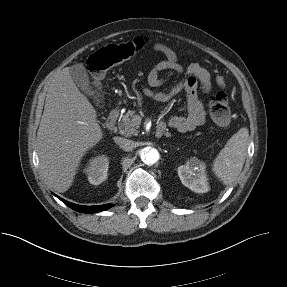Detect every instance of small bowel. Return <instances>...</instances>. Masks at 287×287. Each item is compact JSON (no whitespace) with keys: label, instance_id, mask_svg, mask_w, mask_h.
<instances>
[{"label":"small bowel","instance_id":"1","mask_svg":"<svg viewBox=\"0 0 287 287\" xmlns=\"http://www.w3.org/2000/svg\"><path fill=\"white\" fill-rule=\"evenodd\" d=\"M154 50L162 53L165 59L158 62L147 76V85L143 86L144 94L157 103H165L181 92L186 93L187 112L183 116H172L168 124L180 132L192 131L205 121V108L198 97V89L208 93L212 87L209 71L199 63H191L184 67L178 60L176 52L165 44L157 43ZM182 76V79L166 92H156L152 88L164 85L171 77ZM219 87H225L222 76L216 78ZM159 125L165 127V123Z\"/></svg>","mask_w":287,"mask_h":287}]
</instances>
